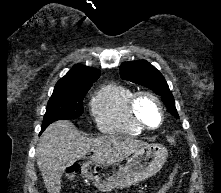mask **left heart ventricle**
<instances>
[{"label": "left heart ventricle", "instance_id": "b2bd125f", "mask_svg": "<svg viewBox=\"0 0 221 193\" xmlns=\"http://www.w3.org/2000/svg\"><path fill=\"white\" fill-rule=\"evenodd\" d=\"M138 114L148 125L154 127L160 121V113L156 103L150 99H143L138 105Z\"/></svg>", "mask_w": 221, "mask_h": 193}]
</instances>
